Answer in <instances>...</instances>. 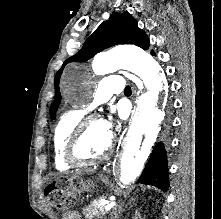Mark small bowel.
Here are the masks:
<instances>
[{"label": "small bowel", "mask_w": 221, "mask_h": 219, "mask_svg": "<svg viewBox=\"0 0 221 219\" xmlns=\"http://www.w3.org/2000/svg\"><path fill=\"white\" fill-rule=\"evenodd\" d=\"M64 219H81L80 215L77 212H71L64 216Z\"/></svg>", "instance_id": "c3829d8e"}]
</instances>
